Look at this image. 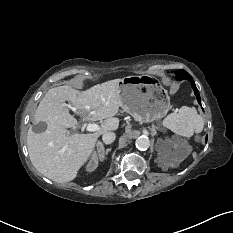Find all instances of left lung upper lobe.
I'll use <instances>...</instances> for the list:
<instances>
[{
    "mask_svg": "<svg viewBox=\"0 0 233 233\" xmlns=\"http://www.w3.org/2000/svg\"><path fill=\"white\" fill-rule=\"evenodd\" d=\"M185 73H187L185 70H176L175 71V74L177 75V78L181 77Z\"/></svg>",
    "mask_w": 233,
    "mask_h": 233,
    "instance_id": "5c2ea615",
    "label": "left lung upper lobe"
}]
</instances>
